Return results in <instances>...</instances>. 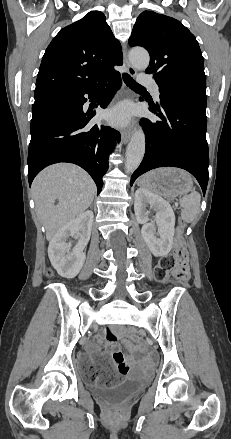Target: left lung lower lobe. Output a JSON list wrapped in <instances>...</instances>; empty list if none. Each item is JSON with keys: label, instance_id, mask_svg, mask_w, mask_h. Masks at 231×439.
<instances>
[{"label": "left lung lower lobe", "instance_id": "left-lung-lower-lobe-1", "mask_svg": "<svg viewBox=\"0 0 231 439\" xmlns=\"http://www.w3.org/2000/svg\"><path fill=\"white\" fill-rule=\"evenodd\" d=\"M159 91V104H149L159 120L142 119L146 153L130 185L151 169L172 166L190 172L205 194L209 176L206 91L190 86L159 87Z\"/></svg>", "mask_w": 231, "mask_h": 439}]
</instances>
